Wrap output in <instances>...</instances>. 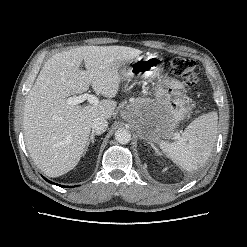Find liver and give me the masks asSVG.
I'll list each match as a JSON object with an SVG mask.
<instances>
[{
  "mask_svg": "<svg viewBox=\"0 0 247 247\" xmlns=\"http://www.w3.org/2000/svg\"><path fill=\"white\" fill-rule=\"evenodd\" d=\"M142 53L126 46H80L50 57L27 95L23 128L28 152L49 177L72 170L85 152L96 117L111 118L119 91V68ZM84 61L86 70H81ZM108 99L96 105H69V96L89 86Z\"/></svg>",
  "mask_w": 247,
  "mask_h": 247,
  "instance_id": "liver-1",
  "label": "liver"
}]
</instances>
